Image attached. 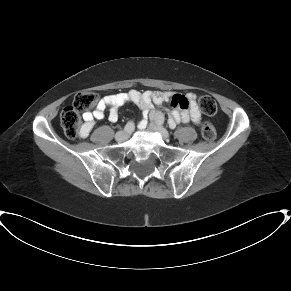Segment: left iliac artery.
<instances>
[{
  "label": "left iliac artery",
  "instance_id": "obj_1",
  "mask_svg": "<svg viewBox=\"0 0 291 291\" xmlns=\"http://www.w3.org/2000/svg\"><path fill=\"white\" fill-rule=\"evenodd\" d=\"M157 120L160 122V123H163L164 121V117L162 115H158L157 116Z\"/></svg>",
  "mask_w": 291,
  "mask_h": 291
}]
</instances>
